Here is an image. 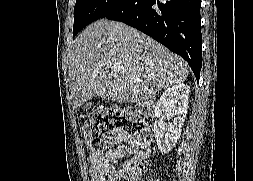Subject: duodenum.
<instances>
[{"instance_id": "1", "label": "duodenum", "mask_w": 253, "mask_h": 181, "mask_svg": "<svg viewBox=\"0 0 253 181\" xmlns=\"http://www.w3.org/2000/svg\"><path fill=\"white\" fill-rule=\"evenodd\" d=\"M140 113L146 118H152L154 115V106L151 102H144L139 107Z\"/></svg>"}]
</instances>
